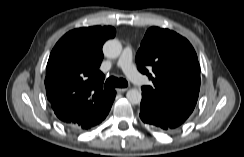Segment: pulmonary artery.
Wrapping results in <instances>:
<instances>
[{
    "label": "pulmonary artery",
    "mask_w": 244,
    "mask_h": 157,
    "mask_svg": "<svg viewBox=\"0 0 244 157\" xmlns=\"http://www.w3.org/2000/svg\"><path fill=\"white\" fill-rule=\"evenodd\" d=\"M133 51L131 46H126L118 60V66L123 70L126 76L137 85H144L147 79L142 76L132 63Z\"/></svg>",
    "instance_id": "obj_1"
}]
</instances>
